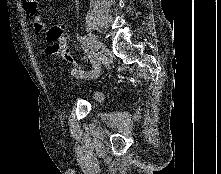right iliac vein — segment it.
Listing matches in <instances>:
<instances>
[{
    "instance_id": "right-iliac-vein-1",
    "label": "right iliac vein",
    "mask_w": 221,
    "mask_h": 174,
    "mask_svg": "<svg viewBox=\"0 0 221 174\" xmlns=\"http://www.w3.org/2000/svg\"><path fill=\"white\" fill-rule=\"evenodd\" d=\"M89 58H97V51L101 48V43L94 34H90Z\"/></svg>"
}]
</instances>
